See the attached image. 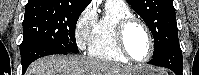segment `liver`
I'll list each match as a JSON object with an SVG mask.
<instances>
[{"label": "liver", "mask_w": 199, "mask_h": 75, "mask_svg": "<svg viewBox=\"0 0 199 75\" xmlns=\"http://www.w3.org/2000/svg\"><path fill=\"white\" fill-rule=\"evenodd\" d=\"M135 68L85 56H47L33 62L26 75H131Z\"/></svg>", "instance_id": "6515ba94"}]
</instances>
